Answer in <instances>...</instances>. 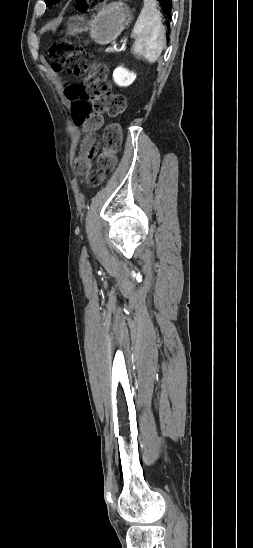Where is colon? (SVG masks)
I'll return each mask as SVG.
<instances>
[{"label": "colon", "mask_w": 253, "mask_h": 548, "mask_svg": "<svg viewBox=\"0 0 253 548\" xmlns=\"http://www.w3.org/2000/svg\"><path fill=\"white\" fill-rule=\"evenodd\" d=\"M102 1L77 0V4L82 9H89ZM49 56L56 71L66 70L81 78L79 84L65 89L66 97L73 101L72 113L75 121L88 131L74 161V168L77 173L85 175L89 184L98 185L115 169L116 156L122 141V129L118 123H111L106 127L97 167L91 170L90 161L98 148L94 132L101 126L103 114L110 117L124 114L126 99L111 90L106 66L95 63L93 57L81 45L67 39L58 40L49 48Z\"/></svg>", "instance_id": "5ec220e1"}]
</instances>
